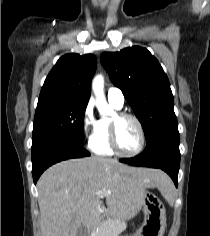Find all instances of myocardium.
I'll use <instances>...</instances> for the list:
<instances>
[{
  "instance_id": "obj_1",
  "label": "myocardium",
  "mask_w": 210,
  "mask_h": 236,
  "mask_svg": "<svg viewBox=\"0 0 210 236\" xmlns=\"http://www.w3.org/2000/svg\"><path fill=\"white\" fill-rule=\"evenodd\" d=\"M126 118H129V119H132L133 121H135V123L138 126L139 133H140V143H139V146L133 152H124V151H122V149L120 148V146L118 144L117 125H118V122L120 120L126 119ZM109 141H110V146H111L112 150L117 155L122 156V157H134V156H137L138 154H140L143 151V149L145 147V144H146V134H145V130H144L142 122L134 114H131V113H128V112H118V113H116L110 119Z\"/></svg>"
}]
</instances>
